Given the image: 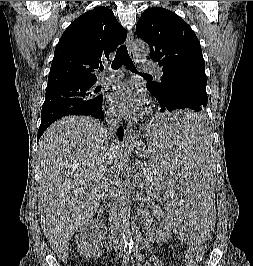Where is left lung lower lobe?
Wrapping results in <instances>:
<instances>
[{"label": "left lung lower lobe", "mask_w": 253, "mask_h": 266, "mask_svg": "<svg viewBox=\"0 0 253 266\" xmlns=\"http://www.w3.org/2000/svg\"><path fill=\"white\" fill-rule=\"evenodd\" d=\"M146 88L153 94L154 91L147 85ZM165 93L164 99L158 101L160 112L189 109L196 115L186 124L175 126L177 132L195 134L205 129L203 114L208 101L206 83L192 76H179L169 83ZM165 129L160 128L159 131Z\"/></svg>", "instance_id": "1"}]
</instances>
